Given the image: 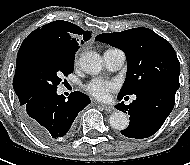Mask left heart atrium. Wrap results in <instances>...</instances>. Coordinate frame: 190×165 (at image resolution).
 Instances as JSON below:
<instances>
[{"label":"left heart atrium","mask_w":190,"mask_h":165,"mask_svg":"<svg viewBox=\"0 0 190 165\" xmlns=\"http://www.w3.org/2000/svg\"><path fill=\"white\" fill-rule=\"evenodd\" d=\"M117 88V84L113 81L97 78L93 79L86 85V90L99 100H107L110 93Z\"/></svg>","instance_id":"39dd6f15"}]
</instances>
